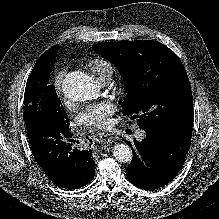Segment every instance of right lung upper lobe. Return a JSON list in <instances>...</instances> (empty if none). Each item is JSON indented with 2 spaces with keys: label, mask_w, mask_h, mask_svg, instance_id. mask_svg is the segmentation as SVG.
<instances>
[{
  "label": "right lung upper lobe",
  "mask_w": 219,
  "mask_h": 219,
  "mask_svg": "<svg viewBox=\"0 0 219 219\" xmlns=\"http://www.w3.org/2000/svg\"><path fill=\"white\" fill-rule=\"evenodd\" d=\"M56 48H58V46H53V47H51L49 50H47L46 52L55 50Z\"/></svg>",
  "instance_id": "cb5924a9"
}]
</instances>
